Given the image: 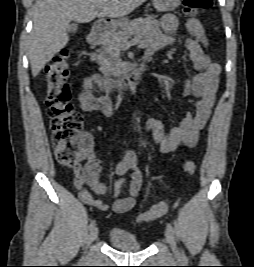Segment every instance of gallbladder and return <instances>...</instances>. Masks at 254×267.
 <instances>
[{"label":"gallbladder","instance_id":"gallbladder-1","mask_svg":"<svg viewBox=\"0 0 254 267\" xmlns=\"http://www.w3.org/2000/svg\"><path fill=\"white\" fill-rule=\"evenodd\" d=\"M77 29H78V25L75 24V23L69 24L68 27H67V31H68L69 33H73V32H75Z\"/></svg>","mask_w":254,"mask_h":267}]
</instances>
